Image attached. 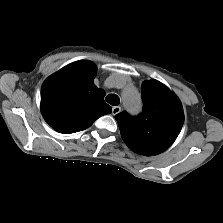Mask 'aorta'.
Returning <instances> with one entry per match:
<instances>
[{
    "label": "aorta",
    "instance_id": "aorta-1",
    "mask_svg": "<svg viewBox=\"0 0 223 223\" xmlns=\"http://www.w3.org/2000/svg\"><path fill=\"white\" fill-rule=\"evenodd\" d=\"M122 97L129 111L133 113H138L141 110V97L139 92L133 86H125L122 92Z\"/></svg>",
    "mask_w": 223,
    "mask_h": 223
}]
</instances>
